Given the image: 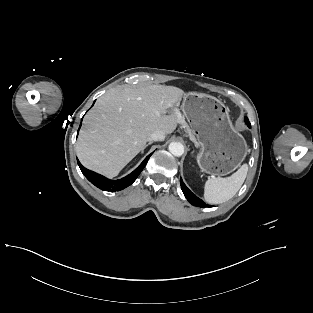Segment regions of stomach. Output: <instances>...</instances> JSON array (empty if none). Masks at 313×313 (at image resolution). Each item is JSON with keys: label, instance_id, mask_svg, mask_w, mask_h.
I'll return each instance as SVG.
<instances>
[{"label": "stomach", "instance_id": "0dacf381", "mask_svg": "<svg viewBox=\"0 0 313 313\" xmlns=\"http://www.w3.org/2000/svg\"><path fill=\"white\" fill-rule=\"evenodd\" d=\"M181 108L192 140L200 148L196 158L201 170L224 176L238 168L248 147L235 130L228 108L213 96L193 92L184 95Z\"/></svg>", "mask_w": 313, "mask_h": 313}]
</instances>
